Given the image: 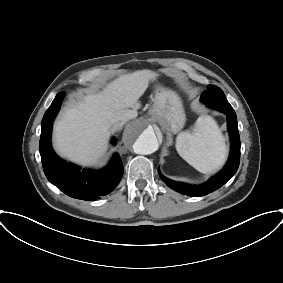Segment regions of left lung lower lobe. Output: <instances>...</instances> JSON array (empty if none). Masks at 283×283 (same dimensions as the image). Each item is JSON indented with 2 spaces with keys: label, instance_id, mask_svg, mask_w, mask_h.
<instances>
[{
  "label": "left lung lower lobe",
  "instance_id": "left-lung-lower-lobe-1",
  "mask_svg": "<svg viewBox=\"0 0 283 283\" xmlns=\"http://www.w3.org/2000/svg\"><path fill=\"white\" fill-rule=\"evenodd\" d=\"M202 101L210 108L227 115V127L230 136L231 150L229 159L224 168L203 185H189L176 182L160 174L162 180L173 190L192 197L205 196L219 189L227 183L236 173L240 162V137L237 126L236 114L232 106L226 100H213L206 94H202Z\"/></svg>",
  "mask_w": 283,
  "mask_h": 283
}]
</instances>
